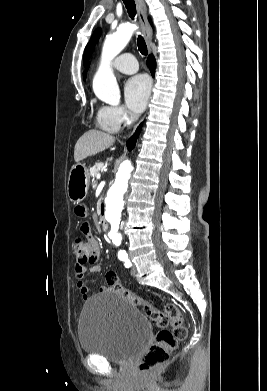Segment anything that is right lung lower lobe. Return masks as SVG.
Returning <instances> with one entry per match:
<instances>
[{
  "mask_svg": "<svg viewBox=\"0 0 267 391\" xmlns=\"http://www.w3.org/2000/svg\"><path fill=\"white\" fill-rule=\"evenodd\" d=\"M147 65L152 73V76H154V73H155V67H156V62H155V58L153 57V55H149L148 57V60H147ZM141 127H142V124L139 125V127L137 128L136 132L134 133L133 136H131L126 145H127V148L129 150H132L135 146V143H136V140H137V137L141 131Z\"/></svg>",
  "mask_w": 267,
  "mask_h": 391,
  "instance_id": "98d812e1",
  "label": "right lung lower lobe"
}]
</instances>
